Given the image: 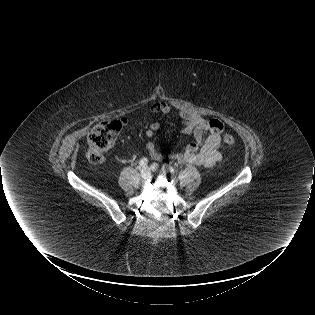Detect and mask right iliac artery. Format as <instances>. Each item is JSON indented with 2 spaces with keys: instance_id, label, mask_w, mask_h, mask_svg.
I'll return each mask as SVG.
<instances>
[{
  "instance_id": "obj_1",
  "label": "right iliac artery",
  "mask_w": 315,
  "mask_h": 315,
  "mask_svg": "<svg viewBox=\"0 0 315 315\" xmlns=\"http://www.w3.org/2000/svg\"><path fill=\"white\" fill-rule=\"evenodd\" d=\"M147 163H148V160H147V158H142L141 160H140V162H139V166L140 167H145V166H147Z\"/></svg>"
}]
</instances>
